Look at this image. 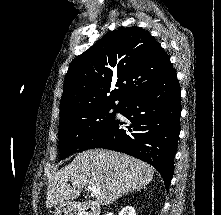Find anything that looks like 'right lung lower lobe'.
<instances>
[{"label":"right lung lower lobe","mask_w":221,"mask_h":215,"mask_svg":"<svg viewBox=\"0 0 221 215\" xmlns=\"http://www.w3.org/2000/svg\"><path fill=\"white\" fill-rule=\"evenodd\" d=\"M117 112L131 122L128 130L122 128L123 122L114 120L88 137L78 150L105 148L143 160L158 170L168 189L180 132V86L175 69L162 81L128 99Z\"/></svg>","instance_id":"right-lung-lower-lobe-1"}]
</instances>
